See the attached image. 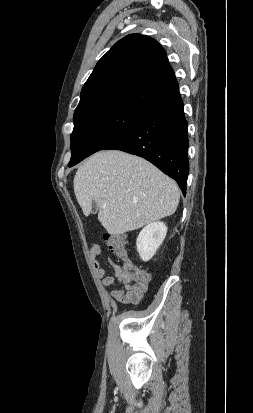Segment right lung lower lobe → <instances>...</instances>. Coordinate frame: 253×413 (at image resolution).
Here are the masks:
<instances>
[{
  "label": "right lung lower lobe",
  "mask_w": 253,
  "mask_h": 413,
  "mask_svg": "<svg viewBox=\"0 0 253 413\" xmlns=\"http://www.w3.org/2000/svg\"><path fill=\"white\" fill-rule=\"evenodd\" d=\"M181 97L156 108L124 137L105 149L121 150L150 161L176 180L183 194L189 172L188 131Z\"/></svg>",
  "instance_id": "right-lung-lower-lobe-1"
}]
</instances>
